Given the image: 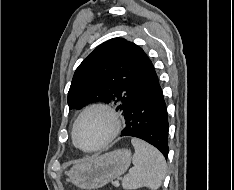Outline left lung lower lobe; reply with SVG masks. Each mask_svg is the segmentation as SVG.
<instances>
[{
	"instance_id": "0a47b994",
	"label": "left lung lower lobe",
	"mask_w": 234,
	"mask_h": 190,
	"mask_svg": "<svg viewBox=\"0 0 234 190\" xmlns=\"http://www.w3.org/2000/svg\"><path fill=\"white\" fill-rule=\"evenodd\" d=\"M149 65L148 79L143 88L128 104L124 115L126 126L121 136L137 137L155 146L168 158V116L162 89L153 64Z\"/></svg>"
}]
</instances>
